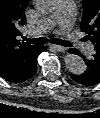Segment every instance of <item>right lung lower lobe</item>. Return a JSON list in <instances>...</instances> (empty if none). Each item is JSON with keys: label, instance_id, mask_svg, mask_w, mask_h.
Listing matches in <instances>:
<instances>
[{"label": "right lung lower lobe", "instance_id": "98d812e1", "mask_svg": "<svg viewBox=\"0 0 100 118\" xmlns=\"http://www.w3.org/2000/svg\"><path fill=\"white\" fill-rule=\"evenodd\" d=\"M46 49L45 46H34L22 55L18 63L0 69V76L11 83H22L32 78L36 73V59Z\"/></svg>", "mask_w": 100, "mask_h": 118}]
</instances>
